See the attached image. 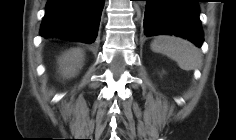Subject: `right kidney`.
Masks as SVG:
<instances>
[{
	"label": "right kidney",
	"instance_id": "obj_1",
	"mask_svg": "<svg viewBox=\"0 0 236 140\" xmlns=\"http://www.w3.org/2000/svg\"><path fill=\"white\" fill-rule=\"evenodd\" d=\"M84 51L81 48H72L58 59L59 71L62 77L71 78L77 75L82 68Z\"/></svg>",
	"mask_w": 236,
	"mask_h": 140
}]
</instances>
